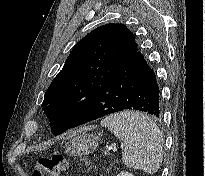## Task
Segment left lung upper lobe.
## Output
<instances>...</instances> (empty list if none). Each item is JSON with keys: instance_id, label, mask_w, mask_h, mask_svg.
Returning a JSON list of instances; mask_svg holds the SVG:
<instances>
[{"instance_id": "1", "label": "left lung upper lobe", "mask_w": 205, "mask_h": 176, "mask_svg": "<svg viewBox=\"0 0 205 176\" xmlns=\"http://www.w3.org/2000/svg\"><path fill=\"white\" fill-rule=\"evenodd\" d=\"M137 50L133 33L123 24L100 26L73 47L42 103L55 136L71 128L100 87Z\"/></svg>"}]
</instances>
